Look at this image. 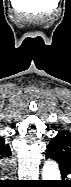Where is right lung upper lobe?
<instances>
[{
	"mask_svg": "<svg viewBox=\"0 0 71 187\" xmlns=\"http://www.w3.org/2000/svg\"><path fill=\"white\" fill-rule=\"evenodd\" d=\"M11 150L5 139L0 137V157L9 158L11 156Z\"/></svg>",
	"mask_w": 71,
	"mask_h": 187,
	"instance_id": "cb5924a9",
	"label": "right lung upper lobe"
}]
</instances>
